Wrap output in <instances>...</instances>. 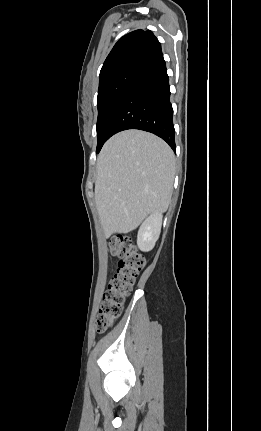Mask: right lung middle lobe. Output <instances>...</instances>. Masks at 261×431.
Returning <instances> with one entry per match:
<instances>
[{
    "label": "right lung middle lobe",
    "mask_w": 261,
    "mask_h": 431,
    "mask_svg": "<svg viewBox=\"0 0 261 431\" xmlns=\"http://www.w3.org/2000/svg\"><path fill=\"white\" fill-rule=\"evenodd\" d=\"M140 73L139 70H129L121 73L99 85L97 106V150L99 153L103 144L109 139L110 125L119 106Z\"/></svg>",
    "instance_id": "dd1d6c3e"
}]
</instances>
